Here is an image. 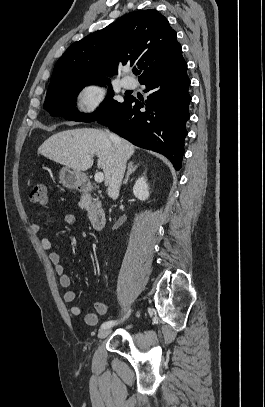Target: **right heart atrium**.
Masks as SVG:
<instances>
[{
	"label": "right heart atrium",
	"mask_w": 265,
	"mask_h": 407,
	"mask_svg": "<svg viewBox=\"0 0 265 407\" xmlns=\"http://www.w3.org/2000/svg\"><path fill=\"white\" fill-rule=\"evenodd\" d=\"M105 99V89L101 85L86 83L75 95V107L80 116L91 118L102 111Z\"/></svg>",
	"instance_id": "d8ad5b80"
}]
</instances>
